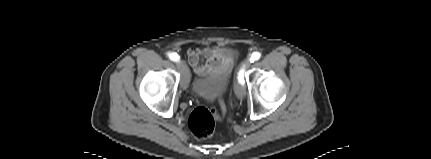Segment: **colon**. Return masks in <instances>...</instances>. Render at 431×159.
Returning a JSON list of instances; mask_svg holds the SVG:
<instances>
[{
  "mask_svg": "<svg viewBox=\"0 0 431 159\" xmlns=\"http://www.w3.org/2000/svg\"><path fill=\"white\" fill-rule=\"evenodd\" d=\"M220 107L222 108V114L216 107L210 109L197 107L191 112L188 119V127L196 138L206 139L212 136L216 117L218 116V121H223L226 117L224 97H220Z\"/></svg>",
  "mask_w": 431,
  "mask_h": 159,
  "instance_id": "colon-1",
  "label": "colon"
}]
</instances>
